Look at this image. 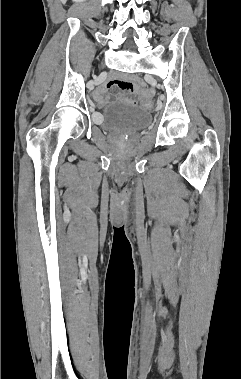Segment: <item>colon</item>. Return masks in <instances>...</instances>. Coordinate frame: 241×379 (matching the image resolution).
I'll return each instance as SVG.
<instances>
[{
  "mask_svg": "<svg viewBox=\"0 0 241 379\" xmlns=\"http://www.w3.org/2000/svg\"><path fill=\"white\" fill-rule=\"evenodd\" d=\"M151 104V91L142 90L141 91V109H150Z\"/></svg>",
  "mask_w": 241,
  "mask_h": 379,
  "instance_id": "5ec220e1",
  "label": "colon"
}]
</instances>
